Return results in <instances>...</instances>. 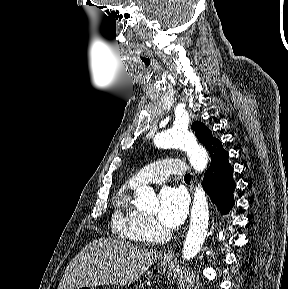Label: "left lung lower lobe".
I'll use <instances>...</instances> for the list:
<instances>
[{
    "mask_svg": "<svg viewBox=\"0 0 288 289\" xmlns=\"http://www.w3.org/2000/svg\"><path fill=\"white\" fill-rule=\"evenodd\" d=\"M209 154L211 163L204 176L203 188L221 214H227L234 205L233 192L236 187L229 154L220 141L213 145Z\"/></svg>",
    "mask_w": 288,
    "mask_h": 289,
    "instance_id": "obj_1",
    "label": "left lung lower lobe"
}]
</instances>
